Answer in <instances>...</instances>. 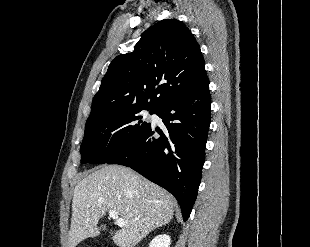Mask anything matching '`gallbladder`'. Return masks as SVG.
<instances>
[{"label": "gallbladder", "instance_id": "1", "mask_svg": "<svg viewBox=\"0 0 310 247\" xmlns=\"http://www.w3.org/2000/svg\"><path fill=\"white\" fill-rule=\"evenodd\" d=\"M105 229H106V227L104 226V227H103V230H105Z\"/></svg>", "mask_w": 310, "mask_h": 247}]
</instances>
